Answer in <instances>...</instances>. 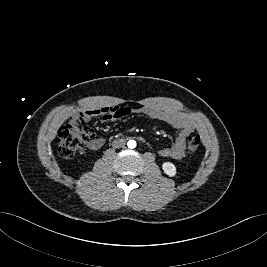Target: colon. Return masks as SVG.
<instances>
[{
  "instance_id": "colon-1",
  "label": "colon",
  "mask_w": 267,
  "mask_h": 267,
  "mask_svg": "<svg viewBox=\"0 0 267 267\" xmlns=\"http://www.w3.org/2000/svg\"><path fill=\"white\" fill-rule=\"evenodd\" d=\"M94 133L89 119L72 120L62 126L57 133L58 154L63 159H71L78 154L93 138ZM186 146L189 152H196L200 146V137L190 135Z\"/></svg>"
}]
</instances>
